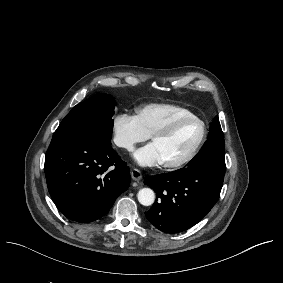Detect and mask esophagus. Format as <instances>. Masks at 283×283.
Here are the masks:
<instances>
[{"instance_id":"esophagus-1","label":"esophagus","mask_w":283,"mask_h":283,"mask_svg":"<svg viewBox=\"0 0 283 283\" xmlns=\"http://www.w3.org/2000/svg\"><path fill=\"white\" fill-rule=\"evenodd\" d=\"M131 177L135 181H140L142 179V173L138 169H132Z\"/></svg>"}]
</instances>
